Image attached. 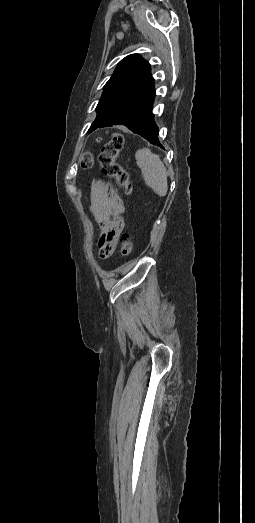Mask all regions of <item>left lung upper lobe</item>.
<instances>
[{"instance_id": "left-lung-upper-lobe-1", "label": "left lung upper lobe", "mask_w": 255, "mask_h": 523, "mask_svg": "<svg viewBox=\"0 0 255 523\" xmlns=\"http://www.w3.org/2000/svg\"><path fill=\"white\" fill-rule=\"evenodd\" d=\"M150 64L138 54L122 59L104 86L97 117L88 133L101 127L124 125L129 130H152L156 92ZM158 134V133H157ZM146 139V137H144Z\"/></svg>"}]
</instances>
